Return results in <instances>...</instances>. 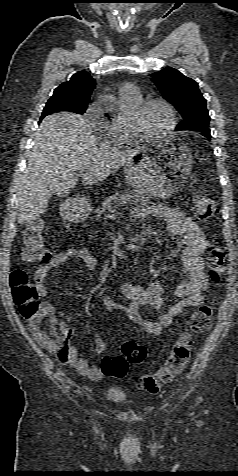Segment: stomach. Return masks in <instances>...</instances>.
Here are the masks:
<instances>
[{"instance_id": "0dacf381", "label": "stomach", "mask_w": 238, "mask_h": 476, "mask_svg": "<svg viewBox=\"0 0 238 476\" xmlns=\"http://www.w3.org/2000/svg\"><path fill=\"white\" fill-rule=\"evenodd\" d=\"M133 160L124 166L129 186L146 197H168L177 193L192 170V153L181 143L169 139L159 144H148L147 149L134 153ZM66 217L84 219L91 206L86 198H71Z\"/></svg>"}]
</instances>
